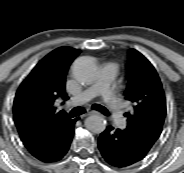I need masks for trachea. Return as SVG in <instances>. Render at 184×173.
Listing matches in <instances>:
<instances>
[{"label": "trachea", "instance_id": "trachea-1", "mask_svg": "<svg viewBox=\"0 0 184 173\" xmlns=\"http://www.w3.org/2000/svg\"><path fill=\"white\" fill-rule=\"evenodd\" d=\"M93 109L94 110H98V111H100V112H102V113H105V108L104 107H102L101 105H99V104H94L93 105ZM82 113H84V109L82 108V107H75L74 109H72V111H71V116H77V115H80V114H82Z\"/></svg>", "mask_w": 184, "mask_h": 173}]
</instances>
